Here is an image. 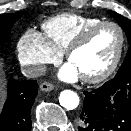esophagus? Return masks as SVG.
I'll use <instances>...</instances> for the list:
<instances>
[{"mask_svg":"<svg viewBox=\"0 0 131 131\" xmlns=\"http://www.w3.org/2000/svg\"><path fill=\"white\" fill-rule=\"evenodd\" d=\"M40 89L41 91L43 92H48V91H51L54 89V86L53 84L49 83V82H43L41 85H40Z\"/></svg>","mask_w":131,"mask_h":131,"instance_id":"esophagus-1","label":"esophagus"}]
</instances>
